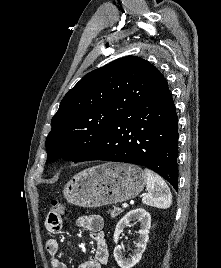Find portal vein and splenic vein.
Returning a JSON list of instances; mask_svg holds the SVG:
<instances>
[{"label":"portal vein and splenic vein","instance_id":"obj_1","mask_svg":"<svg viewBox=\"0 0 221 268\" xmlns=\"http://www.w3.org/2000/svg\"><path fill=\"white\" fill-rule=\"evenodd\" d=\"M122 207H123V208H127V207H128V204H127V203H123V204H122Z\"/></svg>","mask_w":221,"mask_h":268}]
</instances>
